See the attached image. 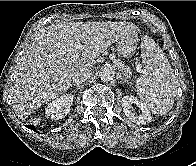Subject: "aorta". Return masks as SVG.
Wrapping results in <instances>:
<instances>
[{
	"label": "aorta",
	"instance_id": "762f6f07",
	"mask_svg": "<svg viewBox=\"0 0 196 166\" xmlns=\"http://www.w3.org/2000/svg\"><path fill=\"white\" fill-rule=\"evenodd\" d=\"M99 77L102 81L109 82L114 79L115 71L111 65L105 64L99 70Z\"/></svg>",
	"mask_w": 196,
	"mask_h": 166
}]
</instances>
